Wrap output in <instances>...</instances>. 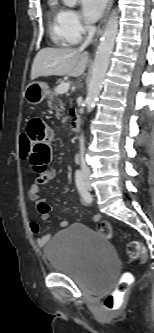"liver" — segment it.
I'll return each mask as SVG.
<instances>
[{
	"label": "liver",
	"mask_w": 154,
	"mask_h": 333,
	"mask_svg": "<svg viewBox=\"0 0 154 333\" xmlns=\"http://www.w3.org/2000/svg\"><path fill=\"white\" fill-rule=\"evenodd\" d=\"M89 61V54L76 48H43L34 58L31 69V80L38 77L81 76Z\"/></svg>",
	"instance_id": "6515ba94"
}]
</instances>
